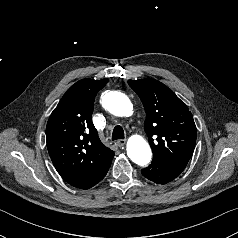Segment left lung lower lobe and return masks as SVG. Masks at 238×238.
<instances>
[{"label": "left lung lower lobe", "mask_w": 238, "mask_h": 238, "mask_svg": "<svg viewBox=\"0 0 238 238\" xmlns=\"http://www.w3.org/2000/svg\"><path fill=\"white\" fill-rule=\"evenodd\" d=\"M183 170V167L152 161L141 173L144 177L157 184H166L178 177Z\"/></svg>", "instance_id": "left-lung-lower-lobe-1"}]
</instances>
